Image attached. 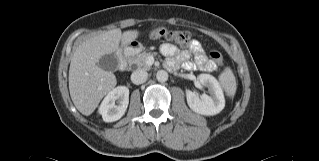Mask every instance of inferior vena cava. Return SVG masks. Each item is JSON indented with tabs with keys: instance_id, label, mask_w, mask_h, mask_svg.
Returning a JSON list of instances; mask_svg holds the SVG:
<instances>
[{
	"instance_id": "inferior-vena-cava-1",
	"label": "inferior vena cava",
	"mask_w": 319,
	"mask_h": 161,
	"mask_svg": "<svg viewBox=\"0 0 319 161\" xmlns=\"http://www.w3.org/2000/svg\"><path fill=\"white\" fill-rule=\"evenodd\" d=\"M148 78V73L145 70H136L131 74L132 83L139 85L144 83Z\"/></svg>"
}]
</instances>
